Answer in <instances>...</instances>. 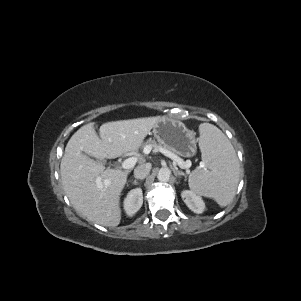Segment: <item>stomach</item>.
I'll use <instances>...</instances> for the list:
<instances>
[{
  "label": "stomach",
  "instance_id": "stomach-1",
  "mask_svg": "<svg viewBox=\"0 0 301 301\" xmlns=\"http://www.w3.org/2000/svg\"><path fill=\"white\" fill-rule=\"evenodd\" d=\"M153 134L159 144L180 156L193 157L197 152L195 133L179 120L162 117L153 127Z\"/></svg>",
  "mask_w": 301,
  "mask_h": 301
}]
</instances>
